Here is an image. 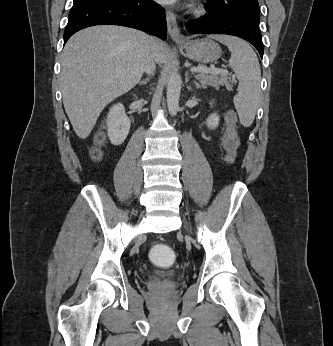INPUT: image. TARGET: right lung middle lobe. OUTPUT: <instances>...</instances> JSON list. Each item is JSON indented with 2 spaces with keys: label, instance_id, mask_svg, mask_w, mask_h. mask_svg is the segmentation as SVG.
<instances>
[{
  "label": "right lung middle lobe",
  "instance_id": "1",
  "mask_svg": "<svg viewBox=\"0 0 333 346\" xmlns=\"http://www.w3.org/2000/svg\"><path fill=\"white\" fill-rule=\"evenodd\" d=\"M79 1H82V0H74V3L79 2Z\"/></svg>",
  "mask_w": 333,
  "mask_h": 346
}]
</instances>
